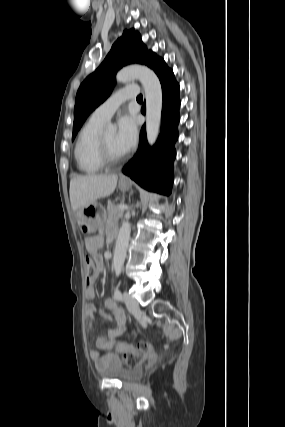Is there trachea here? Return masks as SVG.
Listing matches in <instances>:
<instances>
[{
	"label": "trachea",
	"instance_id": "obj_1",
	"mask_svg": "<svg viewBox=\"0 0 285 427\" xmlns=\"http://www.w3.org/2000/svg\"><path fill=\"white\" fill-rule=\"evenodd\" d=\"M142 99H143L142 95H139V96L137 97V100H142Z\"/></svg>",
	"mask_w": 285,
	"mask_h": 427
}]
</instances>
